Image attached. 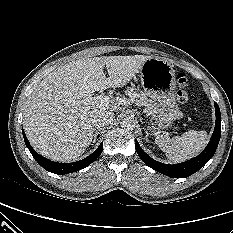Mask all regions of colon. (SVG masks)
<instances>
[{"instance_id":"1","label":"colon","mask_w":233,"mask_h":233,"mask_svg":"<svg viewBox=\"0 0 233 233\" xmlns=\"http://www.w3.org/2000/svg\"><path fill=\"white\" fill-rule=\"evenodd\" d=\"M176 79L178 83L177 99L180 103H187L190 99L189 80L184 73H178Z\"/></svg>"}]
</instances>
